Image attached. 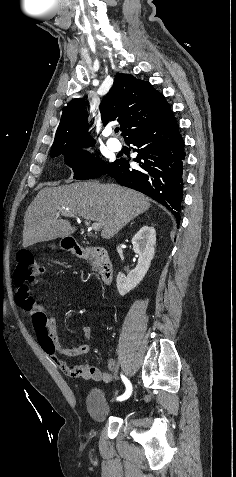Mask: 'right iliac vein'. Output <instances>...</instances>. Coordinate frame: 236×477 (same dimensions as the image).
Instances as JSON below:
<instances>
[{
	"label": "right iliac vein",
	"instance_id": "63e3f726",
	"mask_svg": "<svg viewBox=\"0 0 236 477\" xmlns=\"http://www.w3.org/2000/svg\"><path fill=\"white\" fill-rule=\"evenodd\" d=\"M122 389H123V386H122V385H119L118 388H116V390L113 391L112 394H113V396H116V397H115L116 399H114V397H113V399L111 400L112 402H114L115 400H118V399H117V398H118L117 396H120V395L123 394V393H122V391H123ZM113 407H114V408H117V407H118V403H115V402H114Z\"/></svg>",
	"mask_w": 236,
	"mask_h": 477
}]
</instances>
